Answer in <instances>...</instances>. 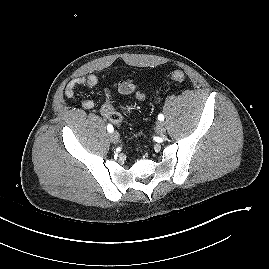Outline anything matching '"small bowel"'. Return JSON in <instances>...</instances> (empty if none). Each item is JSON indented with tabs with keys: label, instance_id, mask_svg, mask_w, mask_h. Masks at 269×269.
I'll list each match as a JSON object with an SVG mask.
<instances>
[{
	"label": "small bowel",
	"instance_id": "small-bowel-1",
	"mask_svg": "<svg viewBox=\"0 0 269 269\" xmlns=\"http://www.w3.org/2000/svg\"><path fill=\"white\" fill-rule=\"evenodd\" d=\"M98 83V79L95 75L89 74L84 77H78L72 79L65 88V95L68 98H72L76 94V89L78 86H86V87H94ZM114 88L117 94L122 96H131L134 95L137 99H143L144 95L141 91H139L135 84L131 80L120 81L114 85ZM108 91V90H106ZM95 106V102L93 100H85L82 102V107L85 109H92ZM102 114L106 117V113L104 110V105L101 108Z\"/></svg>",
	"mask_w": 269,
	"mask_h": 269
}]
</instances>
